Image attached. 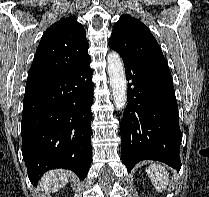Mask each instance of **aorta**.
Returning <instances> with one entry per match:
<instances>
[{
	"label": "aorta",
	"mask_w": 209,
	"mask_h": 197,
	"mask_svg": "<svg viewBox=\"0 0 209 197\" xmlns=\"http://www.w3.org/2000/svg\"><path fill=\"white\" fill-rule=\"evenodd\" d=\"M107 63L114 104L118 110H121L127 104V81L124 65L120 55L116 51L108 54Z\"/></svg>",
	"instance_id": "obj_1"
}]
</instances>
